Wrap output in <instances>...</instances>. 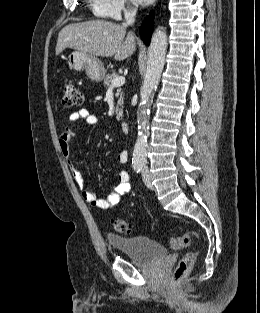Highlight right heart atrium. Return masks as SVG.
Returning <instances> with one entry per match:
<instances>
[{
    "label": "right heart atrium",
    "instance_id": "1",
    "mask_svg": "<svg viewBox=\"0 0 260 313\" xmlns=\"http://www.w3.org/2000/svg\"><path fill=\"white\" fill-rule=\"evenodd\" d=\"M94 11L100 17L120 19L124 14L134 12L129 0H94Z\"/></svg>",
    "mask_w": 260,
    "mask_h": 313
}]
</instances>
